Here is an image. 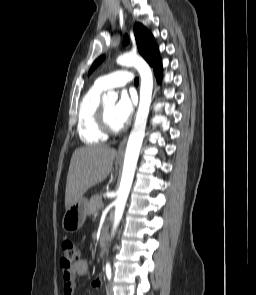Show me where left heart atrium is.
Here are the masks:
<instances>
[{
    "mask_svg": "<svg viewBox=\"0 0 256 295\" xmlns=\"http://www.w3.org/2000/svg\"><path fill=\"white\" fill-rule=\"evenodd\" d=\"M135 100L128 92H123L114 109V118L120 127L128 123L134 110Z\"/></svg>",
    "mask_w": 256,
    "mask_h": 295,
    "instance_id": "left-heart-atrium-1",
    "label": "left heart atrium"
}]
</instances>
